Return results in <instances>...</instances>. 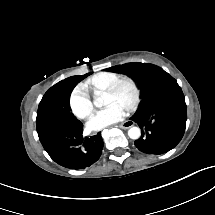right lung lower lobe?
I'll return each mask as SVG.
<instances>
[{
  "label": "right lung lower lobe",
  "mask_w": 215,
  "mask_h": 215,
  "mask_svg": "<svg viewBox=\"0 0 215 215\" xmlns=\"http://www.w3.org/2000/svg\"><path fill=\"white\" fill-rule=\"evenodd\" d=\"M40 142L49 156L69 169H84L94 164L102 153L103 140L98 133L83 138L81 126H46L37 129Z\"/></svg>",
  "instance_id": "98d812e1"
}]
</instances>
